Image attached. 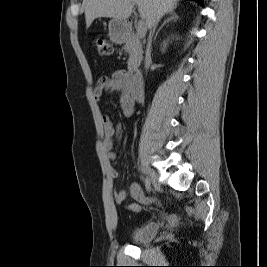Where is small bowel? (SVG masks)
Segmentation results:
<instances>
[{"instance_id": "small-bowel-1", "label": "small bowel", "mask_w": 267, "mask_h": 267, "mask_svg": "<svg viewBox=\"0 0 267 267\" xmlns=\"http://www.w3.org/2000/svg\"><path fill=\"white\" fill-rule=\"evenodd\" d=\"M131 80L125 70L118 69L113 71L110 75L103 76L97 82L93 96L95 100L99 101L104 92L109 94H117L119 106L122 113L129 117L135 112V101L130 94ZM103 125V140L102 148L109 161H115L117 158L114 152V136L121 134L120 125H114L107 114H102ZM109 175L111 178L118 177V171L114 167L109 168ZM131 197L136 201L127 205V209L138 213L142 210V205L151 204L154 199L144 194L142 188L138 183H132L129 187ZM127 198V192L124 190H117L114 192V201L117 204H122ZM170 221H174V216H169Z\"/></svg>"}]
</instances>
